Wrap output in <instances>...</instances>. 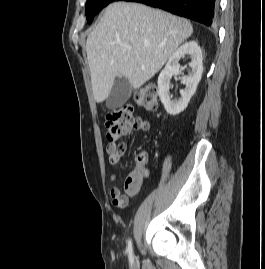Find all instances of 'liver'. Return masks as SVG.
Masks as SVG:
<instances>
[{
	"mask_svg": "<svg viewBox=\"0 0 265 269\" xmlns=\"http://www.w3.org/2000/svg\"><path fill=\"white\" fill-rule=\"evenodd\" d=\"M192 33L187 19L159 9L126 2L107 6L86 42L95 101L108 98L116 78L139 89Z\"/></svg>",
	"mask_w": 265,
	"mask_h": 269,
	"instance_id": "obj_1",
	"label": "liver"
}]
</instances>
